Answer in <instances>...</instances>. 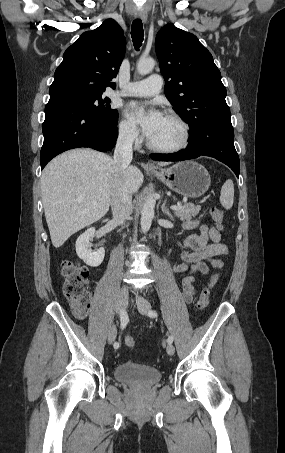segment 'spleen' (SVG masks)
Listing matches in <instances>:
<instances>
[{
  "instance_id": "3e777b00",
  "label": "spleen",
  "mask_w": 285,
  "mask_h": 453,
  "mask_svg": "<svg viewBox=\"0 0 285 453\" xmlns=\"http://www.w3.org/2000/svg\"><path fill=\"white\" fill-rule=\"evenodd\" d=\"M234 202V184L231 179L226 180L221 188L220 203L226 210L232 208Z\"/></svg>"
}]
</instances>
